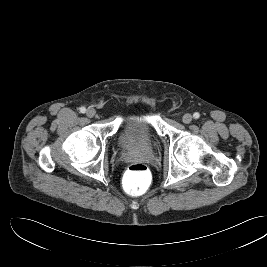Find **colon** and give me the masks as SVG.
<instances>
[{
    "instance_id": "obj_1",
    "label": "colon",
    "mask_w": 267,
    "mask_h": 267,
    "mask_svg": "<svg viewBox=\"0 0 267 267\" xmlns=\"http://www.w3.org/2000/svg\"><path fill=\"white\" fill-rule=\"evenodd\" d=\"M151 184V173L148 167L140 162L131 164L123 177V188L132 196L145 193Z\"/></svg>"
}]
</instances>
